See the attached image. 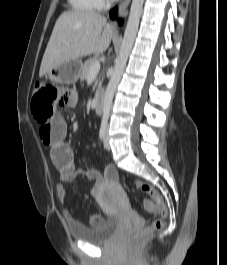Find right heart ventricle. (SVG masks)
Wrapping results in <instances>:
<instances>
[{"instance_id":"right-heart-ventricle-1","label":"right heart ventricle","mask_w":227,"mask_h":265,"mask_svg":"<svg viewBox=\"0 0 227 265\" xmlns=\"http://www.w3.org/2000/svg\"><path fill=\"white\" fill-rule=\"evenodd\" d=\"M75 12H93L100 7L99 0H68Z\"/></svg>"}]
</instances>
